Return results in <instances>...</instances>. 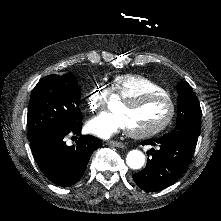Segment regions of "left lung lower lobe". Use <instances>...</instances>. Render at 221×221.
Wrapping results in <instances>:
<instances>
[{
  "label": "left lung lower lobe",
  "mask_w": 221,
  "mask_h": 221,
  "mask_svg": "<svg viewBox=\"0 0 221 221\" xmlns=\"http://www.w3.org/2000/svg\"><path fill=\"white\" fill-rule=\"evenodd\" d=\"M197 140L183 132L172 131L154 142H142V145L154 146L158 143L160 148L151 149L152 159L148 158L146 167L133 175L136 184L146 192H154L175 183L187 170Z\"/></svg>",
  "instance_id": "left-lung-lower-lobe-1"
}]
</instances>
